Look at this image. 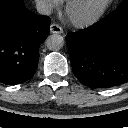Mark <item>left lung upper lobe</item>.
I'll list each match as a JSON object with an SVG mask.
<instances>
[{"label":"left lung upper lobe","mask_w":128,"mask_h":128,"mask_svg":"<svg viewBox=\"0 0 128 128\" xmlns=\"http://www.w3.org/2000/svg\"><path fill=\"white\" fill-rule=\"evenodd\" d=\"M128 6V0H123V2L119 5L118 8H123V7H126Z\"/></svg>","instance_id":"1"}]
</instances>
